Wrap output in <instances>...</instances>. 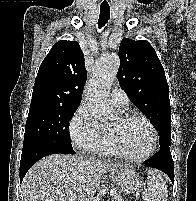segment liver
Returning <instances> with one entry per match:
<instances>
[{
	"instance_id": "obj_1",
	"label": "liver",
	"mask_w": 196,
	"mask_h": 201,
	"mask_svg": "<svg viewBox=\"0 0 196 201\" xmlns=\"http://www.w3.org/2000/svg\"><path fill=\"white\" fill-rule=\"evenodd\" d=\"M123 165L52 154L34 164L21 184L23 201H92L107 172Z\"/></svg>"
}]
</instances>
